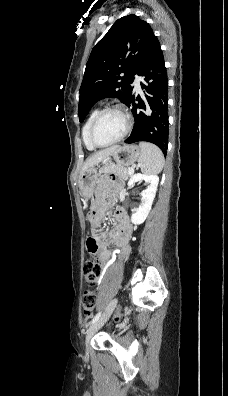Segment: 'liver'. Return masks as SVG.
<instances>
[{"label": "liver", "mask_w": 228, "mask_h": 396, "mask_svg": "<svg viewBox=\"0 0 228 396\" xmlns=\"http://www.w3.org/2000/svg\"><path fill=\"white\" fill-rule=\"evenodd\" d=\"M119 146L114 145L111 146L109 148H106L104 150H101L99 152L94 153L93 155H91L89 158H87V160L85 161L82 169H81V173L83 171H85L86 169L97 165L98 163L102 162L103 160H105L107 157H109ZM80 173V174H81Z\"/></svg>", "instance_id": "1"}]
</instances>
